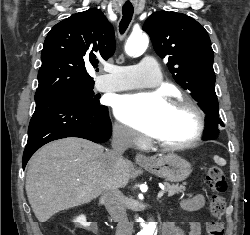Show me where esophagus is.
Here are the masks:
<instances>
[{
	"mask_svg": "<svg viewBox=\"0 0 250 235\" xmlns=\"http://www.w3.org/2000/svg\"><path fill=\"white\" fill-rule=\"evenodd\" d=\"M135 161L137 163H150L151 160L141 153H137L135 156Z\"/></svg>",
	"mask_w": 250,
	"mask_h": 235,
	"instance_id": "1",
	"label": "esophagus"
}]
</instances>
